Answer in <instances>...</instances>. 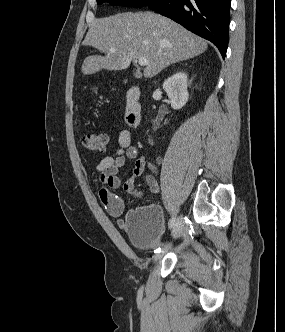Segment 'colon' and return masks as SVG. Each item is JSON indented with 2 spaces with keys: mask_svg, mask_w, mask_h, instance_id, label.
Masks as SVG:
<instances>
[{
  "mask_svg": "<svg viewBox=\"0 0 285 332\" xmlns=\"http://www.w3.org/2000/svg\"><path fill=\"white\" fill-rule=\"evenodd\" d=\"M107 142L108 136L103 132H87L82 136L83 145L94 152H103Z\"/></svg>",
  "mask_w": 285,
  "mask_h": 332,
  "instance_id": "5ec220e1",
  "label": "colon"
}]
</instances>
